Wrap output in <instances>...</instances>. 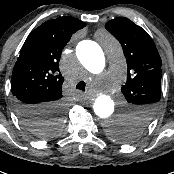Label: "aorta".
<instances>
[{
    "label": "aorta",
    "mask_w": 174,
    "mask_h": 174,
    "mask_svg": "<svg viewBox=\"0 0 174 174\" xmlns=\"http://www.w3.org/2000/svg\"><path fill=\"white\" fill-rule=\"evenodd\" d=\"M106 53L113 61H119L120 50L110 39L107 40ZM76 56L81 64L91 73L100 74L105 67V56L102 48L94 41H81L76 47ZM114 101L110 96L101 94L93 104L95 115L104 123V129L111 135L120 130L124 120L114 115Z\"/></svg>",
    "instance_id": "obj_1"
}]
</instances>
